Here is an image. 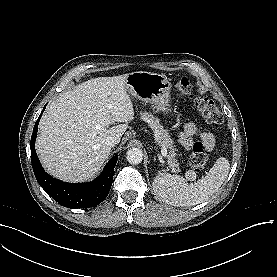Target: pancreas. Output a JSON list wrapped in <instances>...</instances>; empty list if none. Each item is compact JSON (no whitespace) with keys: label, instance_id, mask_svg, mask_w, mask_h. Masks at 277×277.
I'll list each match as a JSON object with an SVG mask.
<instances>
[{"label":"pancreas","instance_id":"pancreas-1","mask_svg":"<svg viewBox=\"0 0 277 277\" xmlns=\"http://www.w3.org/2000/svg\"><path fill=\"white\" fill-rule=\"evenodd\" d=\"M140 118L147 122L149 127L154 131L157 141L160 146L168 149L169 154L167 155V164L171 168L172 172L179 171V162L177 160L176 151H178L174 145L173 139H171L167 130L160 124V120L153 114L146 111L140 113Z\"/></svg>","mask_w":277,"mask_h":277}]
</instances>
